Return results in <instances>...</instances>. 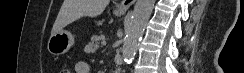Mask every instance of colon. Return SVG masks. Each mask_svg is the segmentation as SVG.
<instances>
[{"mask_svg":"<svg viewBox=\"0 0 244 73\" xmlns=\"http://www.w3.org/2000/svg\"><path fill=\"white\" fill-rule=\"evenodd\" d=\"M61 73H71L69 68H63Z\"/></svg>","mask_w":244,"mask_h":73,"instance_id":"1","label":"colon"}]
</instances>
